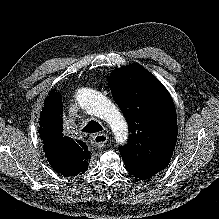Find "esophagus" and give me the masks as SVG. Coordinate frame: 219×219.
Instances as JSON below:
<instances>
[{
  "label": "esophagus",
  "mask_w": 219,
  "mask_h": 219,
  "mask_svg": "<svg viewBox=\"0 0 219 219\" xmlns=\"http://www.w3.org/2000/svg\"><path fill=\"white\" fill-rule=\"evenodd\" d=\"M108 141V136L106 134H96L92 138V145L96 148L103 147Z\"/></svg>",
  "instance_id": "obj_1"
}]
</instances>
